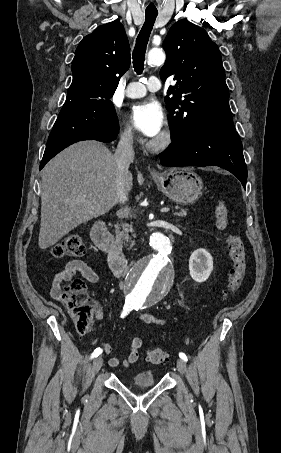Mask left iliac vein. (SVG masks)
<instances>
[{"label":"left iliac vein","mask_w":281,"mask_h":453,"mask_svg":"<svg viewBox=\"0 0 281 453\" xmlns=\"http://www.w3.org/2000/svg\"><path fill=\"white\" fill-rule=\"evenodd\" d=\"M178 362L176 363V366L178 368V370H180L181 373H186L187 372V367H186V364L184 362V360H181L180 358L177 360Z\"/></svg>","instance_id":"1"}]
</instances>
